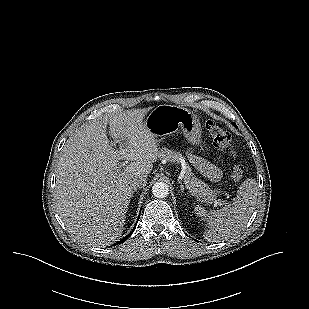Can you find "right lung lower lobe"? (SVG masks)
Listing matches in <instances>:
<instances>
[{
    "label": "right lung lower lobe",
    "mask_w": 309,
    "mask_h": 309,
    "mask_svg": "<svg viewBox=\"0 0 309 309\" xmlns=\"http://www.w3.org/2000/svg\"><path fill=\"white\" fill-rule=\"evenodd\" d=\"M134 230H135V228L133 229V231H134ZM129 236H130V234H128L126 237H124L122 240H120V241L118 242V244L123 243Z\"/></svg>",
    "instance_id": "98d812e1"
}]
</instances>
